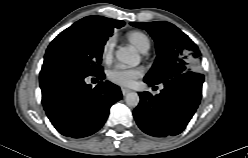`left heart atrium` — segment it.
I'll return each instance as SVG.
<instances>
[{"label":"left heart atrium","instance_id":"obj_1","mask_svg":"<svg viewBox=\"0 0 248 158\" xmlns=\"http://www.w3.org/2000/svg\"><path fill=\"white\" fill-rule=\"evenodd\" d=\"M143 75L141 68H129L122 65H116L107 72L108 80L116 85L127 87Z\"/></svg>","mask_w":248,"mask_h":158}]
</instances>
